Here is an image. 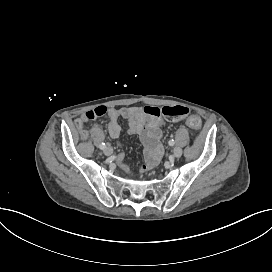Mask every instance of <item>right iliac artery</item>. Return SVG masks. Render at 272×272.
Segmentation results:
<instances>
[{
	"label": "right iliac artery",
	"mask_w": 272,
	"mask_h": 272,
	"mask_svg": "<svg viewBox=\"0 0 272 272\" xmlns=\"http://www.w3.org/2000/svg\"><path fill=\"white\" fill-rule=\"evenodd\" d=\"M105 148H106L105 143L100 144V149H101V150H104Z\"/></svg>",
	"instance_id": "right-iliac-artery-1"
}]
</instances>
